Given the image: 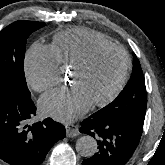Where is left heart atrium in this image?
<instances>
[{"instance_id": "39dd6f15", "label": "left heart atrium", "mask_w": 165, "mask_h": 165, "mask_svg": "<svg viewBox=\"0 0 165 165\" xmlns=\"http://www.w3.org/2000/svg\"><path fill=\"white\" fill-rule=\"evenodd\" d=\"M91 102L77 88H58L45 94L40 100L44 114L61 122H70L84 114Z\"/></svg>"}]
</instances>
